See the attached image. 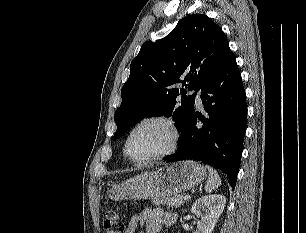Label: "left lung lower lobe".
<instances>
[{
    "label": "left lung lower lobe",
    "instance_id": "obj_1",
    "mask_svg": "<svg viewBox=\"0 0 306 233\" xmlns=\"http://www.w3.org/2000/svg\"><path fill=\"white\" fill-rule=\"evenodd\" d=\"M201 90V100L209 117L201 119L202 128H196L199 117L193 112L180 131L178 150L165 160L194 159L212 165L227 174L234 189L246 131L247 104L231 50Z\"/></svg>",
    "mask_w": 306,
    "mask_h": 233
}]
</instances>
